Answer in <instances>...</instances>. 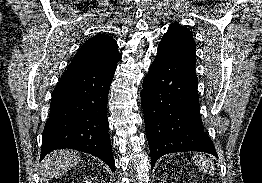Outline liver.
<instances>
[{"instance_id": "6515ba94", "label": "liver", "mask_w": 262, "mask_h": 183, "mask_svg": "<svg viewBox=\"0 0 262 183\" xmlns=\"http://www.w3.org/2000/svg\"><path fill=\"white\" fill-rule=\"evenodd\" d=\"M80 161V155L73 150H57L49 154L44 160L40 168V174L45 179L67 172Z\"/></svg>"}]
</instances>
